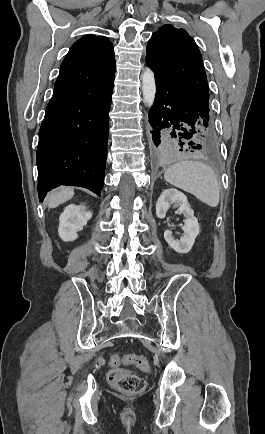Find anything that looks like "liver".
Here are the masks:
<instances>
[{
    "mask_svg": "<svg viewBox=\"0 0 265 434\" xmlns=\"http://www.w3.org/2000/svg\"><path fill=\"white\" fill-rule=\"evenodd\" d=\"M74 196L73 188H59V190H54L50 192L47 198L48 208H57L60 204L68 202Z\"/></svg>",
    "mask_w": 265,
    "mask_h": 434,
    "instance_id": "obj_1",
    "label": "liver"
}]
</instances>
